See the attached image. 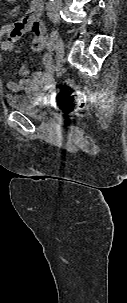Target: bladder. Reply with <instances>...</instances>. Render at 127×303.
I'll return each instance as SVG.
<instances>
[{
	"label": "bladder",
	"mask_w": 127,
	"mask_h": 303,
	"mask_svg": "<svg viewBox=\"0 0 127 303\" xmlns=\"http://www.w3.org/2000/svg\"><path fill=\"white\" fill-rule=\"evenodd\" d=\"M6 102L12 110L22 112L30 118L44 120L48 117L47 105L37 94H7Z\"/></svg>",
	"instance_id": "bladder-1"
}]
</instances>
